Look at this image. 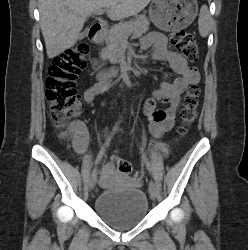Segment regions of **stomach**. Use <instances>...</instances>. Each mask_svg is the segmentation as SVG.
<instances>
[{"label": "stomach", "instance_id": "0dacf381", "mask_svg": "<svg viewBox=\"0 0 248 250\" xmlns=\"http://www.w3.org/2000/svg\"><path fill=\"white\" fill-rule=\"evenodd\" d=\"M198 13L196 0H152L150 20L163 31H176L189 26Z\"/></svg>", "mask_w": 248, "mask_h": 250}]
</instances>
